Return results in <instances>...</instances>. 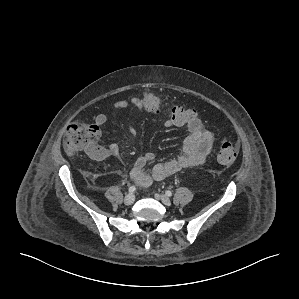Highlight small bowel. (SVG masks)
<instances>
[{
	"instance_id": "small-bowel-1",
	"label": "small bowel",
	"mask_w": 299,
	"mask_h": 299,
	"mask_svg": "<svg viewBox=\"0 0 299 299\" xmlns=\"http://www.w3.org/2000/svg\"><path fill=\"white\" fill-rule=\"evenodd\" d=\"M113 106L116 109L133 107L137 115L145 112L140 97H132L130 100H118L114 102ZM106 123L107 116L105 114H99L94 118V126L96 127L103 126ZM163 126L166 128L176 127L168 119H164ZM185 127L188 135L183 141L181 153L176 158L156 164L150 173L146 171V167L154 161V154L147 152L137 158L130 172L131 179L136 184L148 186L154 180H163L182 169L201 165L205 161L213 145V133L203 126L198 117ZM128 130L132 136L137 135L136 128L133 125H130ZM119 152V146L112 143L107 148L91 152L90 155L96 160H103L111 156H118Z\"/></svg>"
}]
</instances>
